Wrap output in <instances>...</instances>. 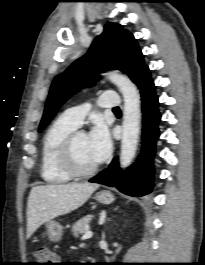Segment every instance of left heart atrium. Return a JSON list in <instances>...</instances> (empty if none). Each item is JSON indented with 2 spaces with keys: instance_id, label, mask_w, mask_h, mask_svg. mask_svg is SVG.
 <instances>
[{
  "instance_id": "39dd6f15",
  "label": "left heart atrium",
  "mask_w": 205,
  "mask_h": 265,
  "mask_svg": "<svg viewBox=\"0 0 205 265\" xmlns=\"http://www.w3.org/2000/svg\"><path fill=\"white\" fill-rule=\"evenodd\" d=\"M94 160L99 163L105 160L111 151V138L107 126L98 121L87 135Z\"/></svg>"
}]
</instances>
